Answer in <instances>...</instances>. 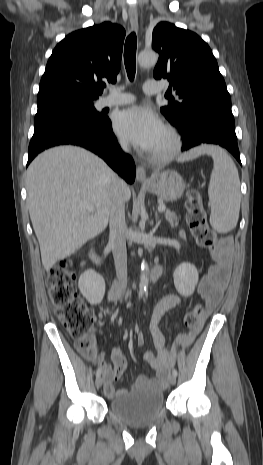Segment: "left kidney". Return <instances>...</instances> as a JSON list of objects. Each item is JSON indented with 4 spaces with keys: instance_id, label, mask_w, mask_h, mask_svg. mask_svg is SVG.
I'll return each mask as SVG.
<instances>
[{
    "instance_id": "1",
    "label": "left kidney",
    "mask_w": 263,
    "mask_h": 465,
    "mask_svg": "<svg viewBox=\"0 0 263 465\" xmlns=\"http://www.w3.org/2000/svg\"><path fill=\"white\" fill-rule=\"evenodd\" d=\"M174 285L178 293L184 297L191 296L198 282V271L190 263L180 264L174 271Z\"/></svg>"
}]
</instances>
